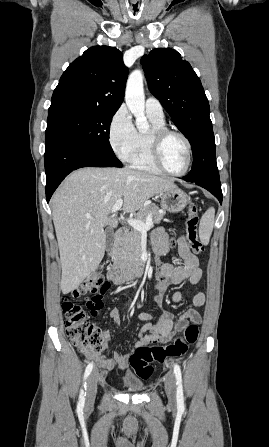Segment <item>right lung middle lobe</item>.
Wrapping results in <instances>:
<instances>
[{"instance_id": "obj_1", "label": "right lung middle lobe", "mask_w": 269, "mask_h": 447, "mask_svg": "<svg viewBox=\"0 0 269 447\" xmlns=\"http://www.w3.org/2000/svg\"><path fill=\"white\" fill-rule=\"evenodd\" d=\"M116 111L61 110L49 113L47 130L64 134L108 153H114L108 135Z\"/></svg>"}]
</instances>
